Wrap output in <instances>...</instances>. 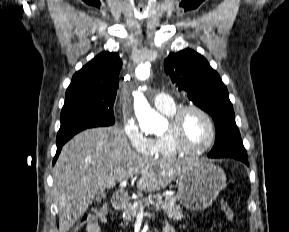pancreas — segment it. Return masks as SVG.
<instances>
[{
  "mask_svg": "<svg viewBox=\"0 0 289 232\" xmlns=\"http://www.w3.org/2000/svg\"><path fill=\"white\" fill-rule=\"evenodd\" d=\"M164 201L161 195H149L148 198L143 200H137L133 204H130L124 211V220L126 226L128 221L133 220L139 212L143 211L146 206L153 205L157 210H164L168 215V218L173 221L181 220L183 212L180 205L177 204L175 197L165 196Z\"/></svg>",
  "mask_w": 289,
  "mask_h": 232,
  "instance_id": "pancreas-1",
  "label": "pancreas"
}]
</instances>
